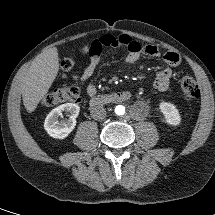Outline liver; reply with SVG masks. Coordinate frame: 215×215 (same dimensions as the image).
<instances>
[{
	"label": "liver",
	"mask_w": 215,
	"mask_h": 215,
	"mask_svg": "<svg viewBox=\"0 0 215 215\" xmlns=\"http://www.w3.org/2000/svg\"><path fill=\"white\" fill-rule=\"evenodd\" d=\"M59 71L57 48H46L38 55L20 80L22 100L27 112H33L47 94Z\"/></svg>",
	"instance_id": "obj_1"
}]
</instances>
